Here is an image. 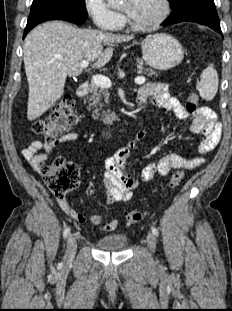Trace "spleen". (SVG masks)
<instances>
[{
  "mask_svg": "<svg viewBox=\"0 0 232 311\" xmlns=\"http://www.w3.org/2000/svg\"><path fill=\"white\" fill-rule=\"evenodd\" d=\"M197 89L200 96L207 101L215 97L218 91V74L213 64H209L208 67L202 71Z\"/></svg>",
  "mask_w": 232,
  "mask_h": 311,
  "instance_id": "obj_1",
  "label": "spleen"
}]
</instances>
